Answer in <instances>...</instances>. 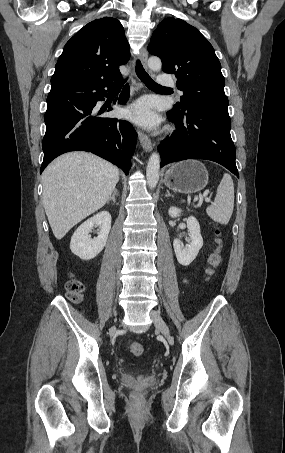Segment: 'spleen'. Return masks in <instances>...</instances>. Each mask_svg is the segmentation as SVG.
<instances>
[{"mask_svg": "<svg viewBox=\"0 0 285 453\" xmlns=\"http://www.w3.org/2000/svg\"><path fill=\"white\" fill-rule=\"evenodd\" d=\"M234 208V184L232 177L225 173L217 188L214 202L207 207V215L220 224H228Z\"/></svg>", "mask_w": 285, "mask_h": 453, "instance_id": "1", "label": "spleen"}]
</instances>
